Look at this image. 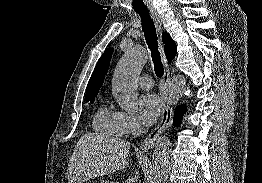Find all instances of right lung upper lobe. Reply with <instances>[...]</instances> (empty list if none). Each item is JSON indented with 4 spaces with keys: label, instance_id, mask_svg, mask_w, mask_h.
<instances>
[{
    "label": "right lung upper lobe",
    "instance_id": "cb5924a9",
    "mask_svg": "<svg viewBox=\"0 0 262 183\" xmlns=\"http://www.w3.org/2000/svg\"><path fill=\"white\" fill-rule=\"evenodd\" d=\"M162 41L164 43V51L169 61L173 60L177 53V48L174 40L167 32H163ZM113 53V48L104 52L101 58L98 60L92 76L88 82L86 89V99H95L99 92V88L102 86L105 75L109 68L110 59Z\"/></svg>",
    "mask_w": 262,
    "mask_h": 183
}]
</instances>
